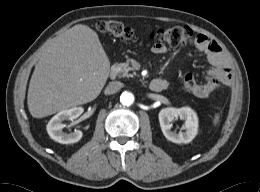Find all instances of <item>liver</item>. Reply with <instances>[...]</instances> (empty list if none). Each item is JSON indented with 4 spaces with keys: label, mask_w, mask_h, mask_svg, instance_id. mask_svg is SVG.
<instances>
[{
    "label": "liver",
    "mask_w": 260,
    "mask_h": 192,
    "mask_svg": "<svg viewBox=\"0 0 260 192\" xmlns=\"http://www.w3.org/2000/svg\"><path fill=\"white\" fill-rule=\"evenodd\" d=\"M110 61L97 33L75 25L43 53L32 74L27 104L30 114L43 118L88 103L100 94Z\"/></svg>",
    "instance_id": "1"
}]
</instances>
